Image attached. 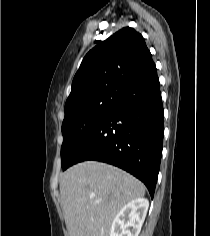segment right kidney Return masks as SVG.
Listing matches in <instances>:
<instances>
[{
  "label": "right kidney",
  "instance_id": "right-kidney-1",
  "mask_svg": "<svg viewBox=\"0 0 210 236\" xmlns=\"http://www.w3.org/2000/svg\"><path fill=\"white\" fill-rule=\"evenodd\" d=\"M149 202L138 198L127 203L113 220L110 236H138L145 220Z\"/></svg>",
  "mask_w": 210,
  "mask_h": 236
}]
</instances>
